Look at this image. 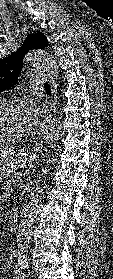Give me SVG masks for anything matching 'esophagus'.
Instances as JSON below:
<instances>
[{
	"label": "esophagus",
	"instance_id": "1",
	"mask_svg": "<svg viewBox=\"0 0 113 279\" xmlns=\"http://www.w3.org/2000/svg\"><path fill=\"white\" fill-rule=\"evenodd\" d=\"M49 84H50V89H51L50 107H49V112L47 113V115L45 116V118L41 124V127H43L56 112L57 87H56V84H55V81L53 80V78H49ZM42 143L43 142H42L41 135H40V133H38V135L35 138L33 150L39 151L40 148L42 147Z\"/></svg>",
	"mask_w": 113,
	"mask_h": 279
}]
</instances>
